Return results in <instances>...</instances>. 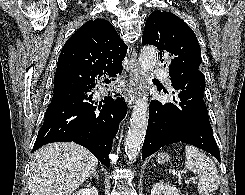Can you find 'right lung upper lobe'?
I'll use <instances>...</instances> for the list:
<instances>
[{
  "mask_svg": "<svg viewBox=\"0 0 245 195\" xmlns=\"http://www.w3.org/2000/svg\"><path fill=\"white\" fill-rule=\"evenodd\" d=\"M127 46L105 19L82 25L65 43L58 58L53 93L81 87L102 75L120 74Z\"/></svg>",
  "mask_w": 245,
  "mask_h": 195,
  "instance_id": "obj_1",
  "label": "right lung upper lobe"
}]
</instances>
